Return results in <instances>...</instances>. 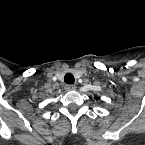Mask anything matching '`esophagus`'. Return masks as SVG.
I'll list each match as a JSON object with an SVG mask.
<instances>
[{
  "instance_id": "obj_1",
  "label": "esophagus",
  "mask_w": 145,
  "mask_h": 145,
  "mask_svg": "<svg viewBox=\"0 0 145 145\" xmlns=\"http://www.w3.org/2000/svg\"><path fill=\"white\" fill-rule=\"evenodd\" d=\"M65 89H66L67 91H74V90L76 89V86H75V85H72V84H67V85L65 86Z\"/></svg>"
}]
</instances>
